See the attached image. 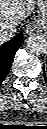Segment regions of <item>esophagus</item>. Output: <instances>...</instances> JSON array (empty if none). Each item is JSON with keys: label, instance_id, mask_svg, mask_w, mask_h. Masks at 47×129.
I'll use <instances>...</instances> for the list:
<instances>
[{"label": "esophagus", "instance_id": "obj_1", "mask_svg": "<svg viewBox=\"0 0 47 129\" xmlns=\"http://www.w3.org/2000/svg\"><path fill=\"white\" fill-rule=\"evenodd\" d=\"M37 28H38L37 23L36 22H31L26 26L25 32H26V34H33L36 31Z\"/></svg>", "mask_w": 47, "mask_h": 129}]
</instances>
